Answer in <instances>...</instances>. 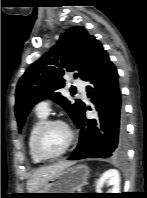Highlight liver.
<instances>
[{
  "label": "liver",
  "mask_w": 147,
  "mask_h": 198,
  "mask_svg": "<svg viewBox=\"0 0 147 198\" xmlns=\"http://www.w3.org/2000/svg\"><path fill=\"white\" fill-rule=\"evenodd\" d=\"M73 162L60 161L50 166L41 167L33 172L31 177L27 181L28 193H33L42 187L47 181L55 177L62 170L71 166Z\"/></svg>",
  "instance_id": "6515ba94"
}]
</instances>
